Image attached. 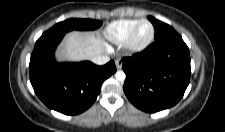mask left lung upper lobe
<instances>
[{
    "label": "left lung upper lobe",
    "instance_id": "obj_1",
    "mask_svg": "<svg viewBox=\"0 0 225 132\" xmlns=\"http://www.w3.org/2000/svg\"><path fill=\"white\" fill-rule=\"evenodd\" d=\"M155 28V41L161 40L174 35H179L170 25L163 22L154 25Z\"/></svg>",
    "mask_w": 225,
    "mask_h": 132
}]
</instances>
